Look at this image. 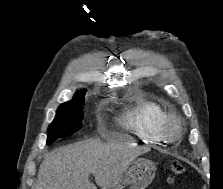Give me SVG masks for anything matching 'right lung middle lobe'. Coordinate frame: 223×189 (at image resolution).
Listing matches in <instances>:
<instances>
[{"mask_svg": "<svg viewBox=\"0 0 223 189\" xmlns=\"http://www.w3.org/2000/svg\"><path fill=\"white\" fill-rule=\"evenodd\" d=\"M85 93L59 106L54 121L48 128L47 145L58 138L67 137L82 127L83 105Z\"/></svg>", "mask_w": 223, "mask_h": 189, "instance_id": "obj_1", "label": "right lung middle lobe"}]
</instances>
